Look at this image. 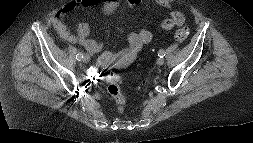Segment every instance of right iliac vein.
<instances>
[{"mask_svg": "<svg viewBox=\"0 0 253 143\" xmlns=\"http://www.w3.org/2000/svg\"><path fill=\"white\" fill-rule=\"evenodd\" d=\"M90 60H91L90 56H89V55H87V54H85V55H84V57H83V62H85V63H89V62H90Z\"/></svg>", "mask_w": 253, "mask_h": 143, "instance_id": "right-iliac-vein-1", "label": "right iliac vein"}]
</instances>
